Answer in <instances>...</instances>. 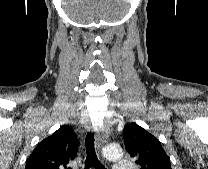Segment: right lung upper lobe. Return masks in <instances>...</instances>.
<instances>
[{
    "label": "right lung upper lobe",
    "mask_w": 208,
    "mask_h": 169,
    "mask_svg": "<svg viewBox=\"0 0 208 169\" xmlns=\"http://www.w3.org/2000/svg\"><path fill=\"white\" fill-rule=\"evenodd\" d=\"M77 148L78 139L74 130L63 125L37 145L25 169H70L67 165L76 157Z\"/></svg>",
    "instance_id": "obj_1"
}]
</instances>
